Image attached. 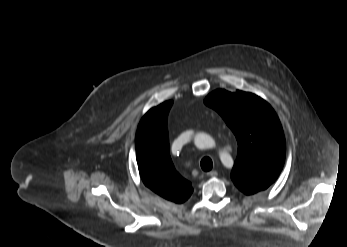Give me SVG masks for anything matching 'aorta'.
Instances as JSON below:
<instances>
[{"instance_id":"aorta-1","label":"aorta","mask_w":347,"mask_h":247,"mask_svg":"<svg viewBox=\"0 0 347 247\" xmlns=\"http://www.w3.org/2000/svg\"><path fill=\"white\" fill-rule=\"evenodd\" d=\"M209 136L205 133H198L196 136H195V145L198 147V148H205L209 142Z\"/></svg>"}]
</instances>
